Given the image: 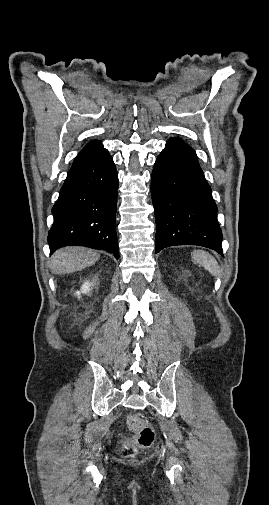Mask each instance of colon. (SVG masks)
I'll use <instances>...</instances> for the list:
<instances>
[{
	"instance_id": "5ec220e1",
	"label": "colon",
	"mask_w": 269,
	"mask_h": 505,
	"mask_svg": "<svg viewBox=\"0 0 269 505\" xmlns=\"http://www.w3.org/2000/svg\"><path fill=\"white\" fill-rule=\"evenodd\" d=\"M129 424L134 431V436L132 439L125 440L121 444L120 452L124 457H134L137 453V448L150 447L155 438L151 425L143 421L139 416H131Z\"/></svg>"
}]
</instances>
